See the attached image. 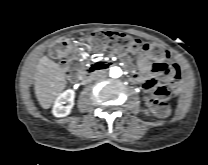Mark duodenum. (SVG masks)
<instances>
[{
    "instance_id": "obj_1",
    "label": "duodenum",
    "mask_w": 208,
    "mask_h": 165,
    "mask_svg": "<svg viewBox=\"0 0 208 165\" xmlns=\"http://www.w3.org/2000/svg\"><path fill=\"white\" fill-rule=\"evenodd\" d=\"M107 68V65L105 63H96L92 64L89 69L82 75L81 80L82 82H88L91 77L98 72L104 70Z\"/></svg>"
}]
</instances>
